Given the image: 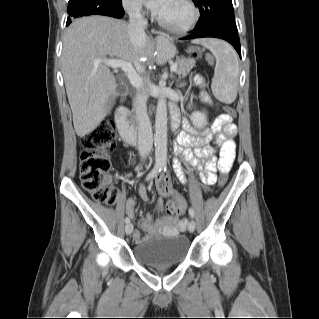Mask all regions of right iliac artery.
Here are the masks:
<instances>
[{
    "label": "right iliac artery",
    "instance_id": "obj_1",
    "mask_svg": "<svg viewBox=\"0 0 319 319\" xmlns=\"http://www.w3.org/2000/svg\"><path fill=\"white\" fill-rule=\"evenodd\" d=\"M161 171V166L155 165L151 172L147 175L146 180H151ZM125 222L129 223L130 219L128 217L125 218Z\"/></svg>",
    "mask_w": 319,
    "mask_h": 319
}]
</instances>
